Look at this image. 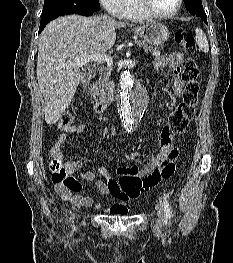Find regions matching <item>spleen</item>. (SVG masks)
I'll list each match as a JSON object with an SVG mask.
<instances>
[{
    "label": "spleen",
    "mask_w": 233,
    "mask_h": 263,
    "mask_svg": "<svg viewBox=\"0 0 233 263\" xmlns=\"http://www.w3.org/2000/svg\"><path fill=\"white\" fill-rule=\"evenodd\" d=\"M195 32H196V42L199 48L204 52H208L209 44L206 35L203 33L202 29L200 28H196Z\"/></svg>",
    "instance_id": "spleen-1"
}]
</instances>
